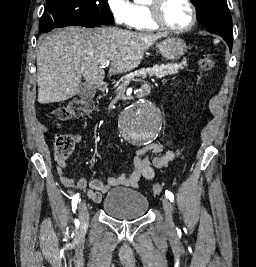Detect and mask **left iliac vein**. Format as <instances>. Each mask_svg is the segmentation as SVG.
Wrapping results in <instances>:
<instances>
[{
    "mask_svg": "<svg viewBox=\"0 0 256 267\" xmlns=\"http://www.w3.org/2000/svg\"><path fill=\"white\" fill-rule=\"evenodd\" d=\"M161 200L163 209L165 211L166 225L169 229H172L174 227V223L172 220V211H173L172 203L167 197H162Z\"/></svg>",
    "mask_w": 256,
    "mask_h": 267,
    "instance_id": "1",
    "label": "left iliac vein"
}]
</instances>
